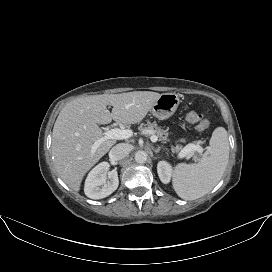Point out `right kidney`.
Segmentation results:
<instances>
[{
	"mask_svg": "<svg viewBox=\"0 0 272 272\" xmlns=\"http://www.w3.org/2000/svg\"><path fill=\"white\" fill-rule=\"evenodd\" d=\"M109 167V163L102 162L89 172L84 186V193L88 198L103 199L118 188L117 171H109Z\"/></svg>",
	"mask_w": 272,
	"mask_h": 272,
	"instance_id": "ca27d5eb",
	"label": "right kidney"
}]
</instances>
